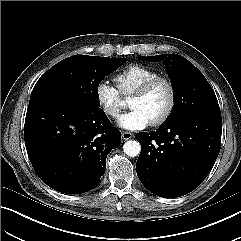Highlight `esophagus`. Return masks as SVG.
<instances>
[{"mask_svg":"<svg viewBox=\"0 0 241 241\" xmlns=\"http://www.w3.org/2000/svg\"><path fill=\"white\" fill-rule=\"evenodd\" d=\"M131 138H133V134L131 132H126V131L122 132V139L123 140H129Z\"/></svg>","mask_w":241,"mask_h":241,"instance_id":"1","label":"esophagus"}]
</instances>
